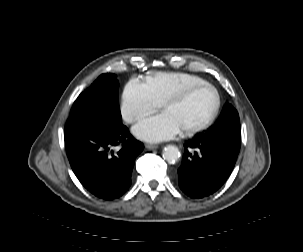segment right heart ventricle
<instances>
[{
	"label": "right heart ventricle",
	"instance_id": "obj_1",
	"mask_svg": "<svg viewBox=\"0 0 303 252\" xmlns=\"http://www.w3.org/2000/svg\"><path fill=\"white\" fill-rule=\"evenodd\" d=\"M199 83L200 79L195 76L160 73L147 78L145 86L152 101L157 105H163Z\"/></svg>",
	"mask_w": 303,
	"mask_h": 252
}]
</instances>
